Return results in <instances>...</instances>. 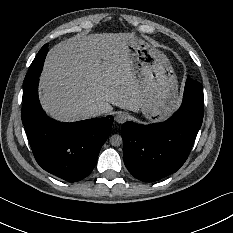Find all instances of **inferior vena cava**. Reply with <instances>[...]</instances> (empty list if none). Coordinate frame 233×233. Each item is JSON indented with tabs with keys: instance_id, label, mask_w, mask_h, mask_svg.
Returning a JSON list of instances; mask_svg holds the SVG:
<instances>
[{
	"instance_id": "obj_1",
	"label": "inferior vena cava",
	"mask_w": 233,
	"mask_h": 233,
	"mask_svg": "<svg viewBox=\"0 0 233 233\" xmlns=\"http://www.w3.org/2000/svg\"><path fill=\"white\" fill-rule=\"evenodd\" d=\"M90 113L93 117L99 116L101 114L107 113V109L104 106H95L92 107Z\"/></svg>"
}]
</instances>
